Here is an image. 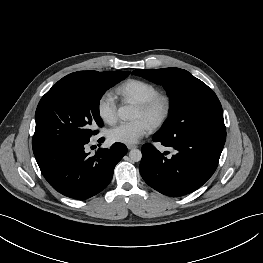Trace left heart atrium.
I'll return each instance as SVG.
<instances>
[{"instance_id": "39dd6f15", "label": "left heart atrium", "mask_w": 263, "mask_h": 263, "mask_svg": "<svg viewBox=\"0 0 263 263\" xmlns=\"http://www.w3.org/2000/svg\"><path fill=\"white\" fill-rule=\"evenodd\" d=\"M152 130V125L145 119L121 122L108 131L110 141L133 145Z\"/></svg>"}]
</instances>
